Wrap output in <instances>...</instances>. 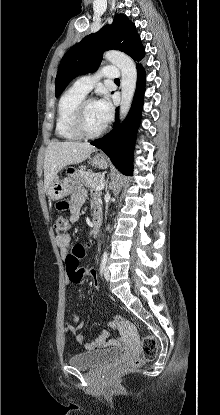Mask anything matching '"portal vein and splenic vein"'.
Returning <instances> with one entry per match:
<instances>
[{
    "label": "portal vein and splenic vein",
    "mask_w": 220,
    "mask_h": 415,
    "mask_svg": "<svg viewBox=\"0 0 220 415\" xmlns=\"http://www.w3.org/2000/svg\"><path fill=\"white\" fill-rule=\"evenodd\" d=\"M102 189H104V183L102 182V183H100L96 188H95V190L96 191H100V190H102Z\"/></svg>",
    "instance_id": "1"
}]
</instances>
